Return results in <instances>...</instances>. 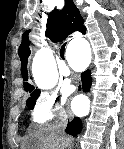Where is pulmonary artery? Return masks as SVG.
<instances>
[{"label": "pulmonary artery", "mask_w": 124, "mask_h": 149, "mask_svg": "<svg viewBox=\"0 0 124 149\" xmlns=\"http://www.w3.org/2000/svg\"><path fill=\"white\" fill-rule=\"evenodd\" d=\"M70 67L69 66H65V67H63L62 69H61V73L63 74V75H69V73H70Z\"/></svg>", "instance_id": "1"}]
</instances>
